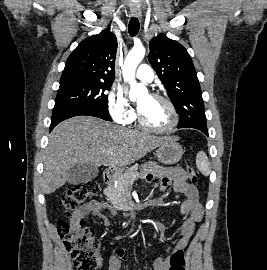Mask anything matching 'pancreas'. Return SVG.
Masks as SVG:
<instances>
[{"instance_id":"1","label":"pancreas","mask_w":267,"mask_h":270,"mask_svg":"<svg viewBox=\"0 0 267 270\" xmlns=\"http://www.w3.org/2000/svg\"><path fill=\"white\" fill-rule=\"evenodd\" d=\"M137 170L138 165L136 164L127 169L125 173L119 175L109 184V186L104 190V194L108 201L116 206L119 203H130L132 184L139 176Z\"/></svg>"}]
</instances>
